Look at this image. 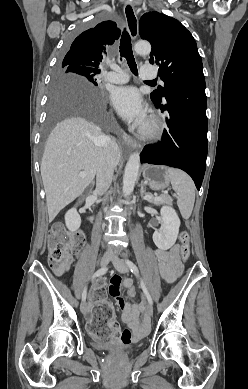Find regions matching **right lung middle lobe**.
<instances>
[{"instance_id": "1", "label": "right lung middle lobe", "mask_w": 248, "mask_h": 389, "mask_svg": "<svg viewBox=\"0 0 248 389\" xmlns=\"http://www.w3.org/2000/svg\"><path fill=\"white\" fill-rule=\"evenodd\" d=\"M99 71L88 68L60 63L55 74V84L57 86H69L72 83H81L90 87L97 86V75ZM82 115L94 121L103 118V110L99 104H89L84 101L60 102L52 100L49 107L48 129L59 120L71 116Z\"/></svg>"}]
</instances>
